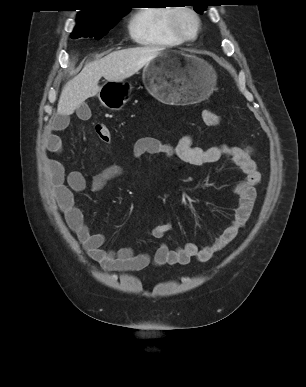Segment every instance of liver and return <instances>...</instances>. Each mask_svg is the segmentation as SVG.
<instances>
[{
  "instance_id": "1",
  "label": "liver",
  "mask_w": 306,
  "mask_h": 387,
  "mask_svg": "<svg viewBox=\"0 0 306 387\" xmlns=\"http://www.w3.org/2000/svg\"><path fill=\"white\" fill-rule=\"evenodd\" d=\"M158 47H136L114 51L104 58L85 65L62 89L57 112L71 115L86 99L97 95L101 77L108 82H121L137 73L160 52Z\"/></svg>"
}]
</instances>
